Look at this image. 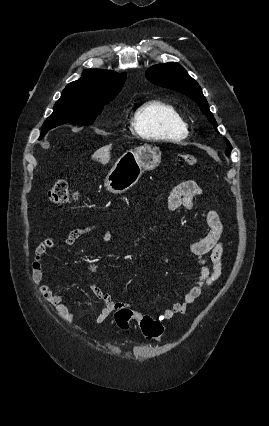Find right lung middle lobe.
Wrapping results in <instances>:
<instances>
[{"mask_svg":"<svg viewBox=\"0 0 269 426\" xmlns=\"http://www.w3.org/2000/svg\"><path fill=\"white\" fill-rule=\"evenodd\" d=\"M113 97H94L83 94L62 93L54 106L53 113L42 126L40 139L48 130L65 123L90 125L102 112L105 104Z\"/></svg>","mask_w":269,"mask_h":426,"instance_id":"1","label":"right lung middle lobe"}]
</instances>
